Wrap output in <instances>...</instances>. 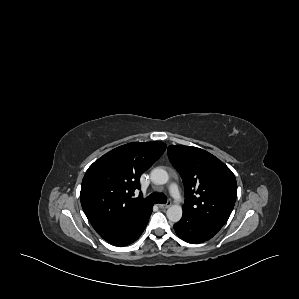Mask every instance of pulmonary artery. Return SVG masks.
Returning a JSON list of instances; mask_svg holds the SVG:
<instances>
[{"mask_svg": "<svg viewBox=\"0 0 299 299\" xmlns=\"http://www.w3.org/2000/svg\"><path fill=\"white\" fill-rule=\"evenodd\" d=\"M169 190L174 199H176V200L180 199L179 188L176 184H174V183L171 184Z\"/></svg>", "mask_w": 299, "mask_h": 299, "instance_id": "e3ab8cb5", "label": "pulmonary artery"}]
</instances>
